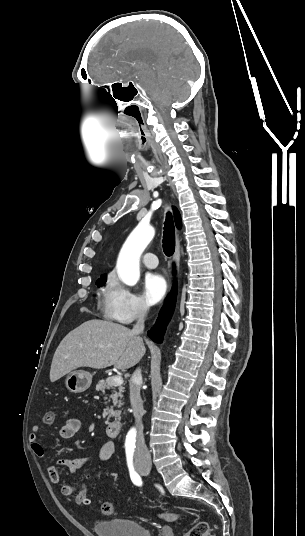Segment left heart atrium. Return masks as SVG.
I'll use <instances>...</instances> for the list:
<instances>
[{
    "label": "left heart atrium",
    "mask_w": 305,
    "mask_h": 536,
    "mask_svg": "<svg viewBox=\"0 0 305 536\" xmlns=\"http://www.w3.org/2000/svg\"><path fill=\"white\" fill-rule=\"evenodd\" d=\"M143 290L146 299L151 304H156L163 298L166 292V281L159 274L149 273L144 278Z\"/></svg>",
    "instance_id": "obj_1"
}]
</instances>
